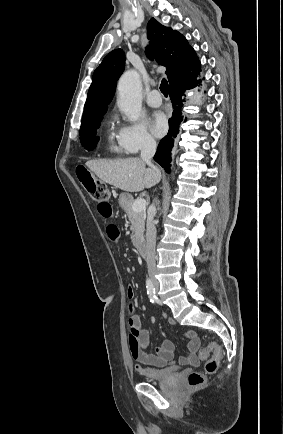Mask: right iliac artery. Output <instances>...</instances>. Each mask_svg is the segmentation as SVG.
Returning <instances> with one entry per match:
<instances>
[{
  "label": "right iliac artery",
  "instance_id": "right-iliac-artery-1",
  "mask_svg": "<svg viewBox=\"0 0 283 434\" xmlns=\"http://www.w3.org/2000/svg\"><path fill=\"white\" fill-rule=\"evenodd\" d=\"M147 294L149 296L150 302L156 303L158 302V298L156 296L154 285L151 279H147L146 281Z\"/></svg>",
  "mask_w": 283,
  "mask_h": 434
}]
</instances>
